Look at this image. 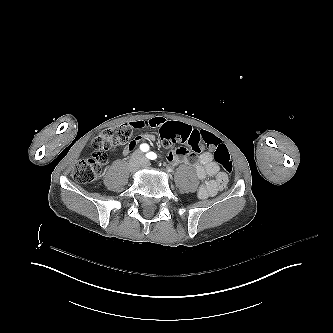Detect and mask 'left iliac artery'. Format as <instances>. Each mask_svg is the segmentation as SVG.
<instances>
[{
  "mask_svg": "<svg viewBox=\"0 0 333 333\" xmlns=\"http://www.w3.org/2000/svg\"><path fill=\"white\" fill-rule=\"evenodd\" d=\"M147 157L151 160H154L157 158V155L154 152H149Z\"/></svg>",
  "mask_w": 333,
  "mask_h": 333,
  "instance_id": "44dca946",
  "label": "left iliac artery"
}]
</instances>
